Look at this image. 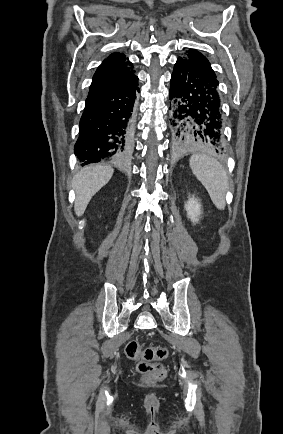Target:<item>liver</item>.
Returning a JSON list of instances; mask_svg holds the SVG:
<instances>
[{"instance_id":"1","label":"liver","mask_w":283,"mask_h":434,"mask_svg":"<svg viewBox=\"0 0 283 434\" xmlns=\"http://www.w3.org/2000/svg\"><path fill=\"white\" fill-rule=\"evenodd\" d=\"M113 172L110 166L94 165L76 174L73 187L76 190L74 211L77 216L83 215L91 198L109 182Z\"/></svg>"}]
</instances>
